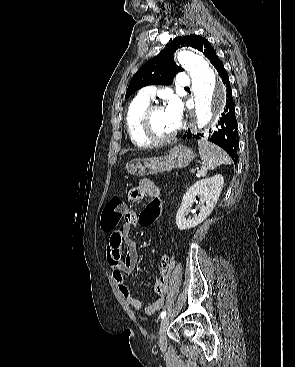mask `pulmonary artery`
Wrapping results in <instances>:
<instances>
[{"mask_svg":"<svg viewBox=\"0 0 295 367\" xmlns=\"http://www.w3.org/2000/svg\"><path fill=\"white\" fill-rule=\"evenodd\" d=\"M177 84L183 88L190 86V79L187 74L179 73L177 76ZM155 96V88L152 86L144 87L139 91L138 97L145 100H152Z\"/></svg>","mask_w":295,"mask_h":367,"instance_id":"obj_1","label":"pulmonary artery"}]
</instances>
